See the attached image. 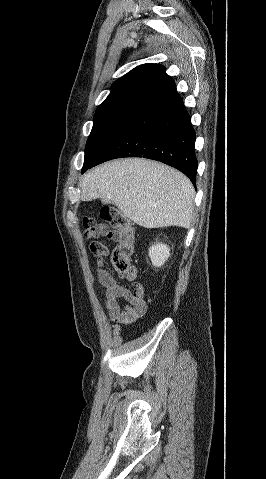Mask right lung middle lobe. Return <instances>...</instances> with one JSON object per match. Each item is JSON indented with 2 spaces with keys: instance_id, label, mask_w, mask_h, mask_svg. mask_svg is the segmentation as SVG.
Returning <instances> with one entry per match:
<instances>
[{
  "instance_id": "1",
  "label": "right lung middle lobe",
  "mask_w": 266,
  "mask_h": 479,
  "mask_svg": "<svg viewBox=\"0 0 266 479\" xmlns=\"http://www.w3.org/2000/svg\"><path fill=\"white\" fill-rule=\"evenodd\" d=\"M137 113V111L125 110L94 116V125L86 144L82 173L89 168L104 147Z\"/></svg>"
}]
</instances>
